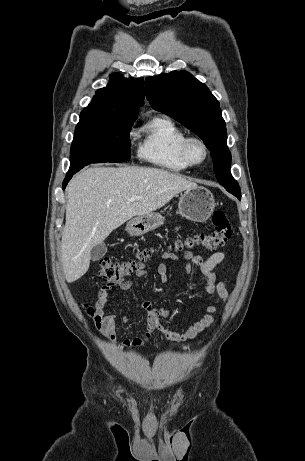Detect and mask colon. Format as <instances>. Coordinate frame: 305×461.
I'll return each instance as SVG.
<instances>
[{
  "mask_svg": "<svg viewBox=\"0 0 305 461\" xmlns=\"http://www.w3.org/2000/svg\"><path fill=\"white\" fill-rule=\"evenodd\" d=\"M213 231L210 233H198L190 235L184 239H179L174 243V248L178 251H186L195 247H202L207 250H215L223 246L231 237V225L222 211H216L212 216ZM151 255L148 250L138 251L133 259L113 260L103 258L100 261L99 277L108 282H117L130 276L136 271ZM90 316L95 315L92 307L87 308Z\"/></svg>",
  "mask_w": 305,
  "mask_h": 461,
  "instance_id": "colon-1",
  "label": "colon"
}]
</instances>
